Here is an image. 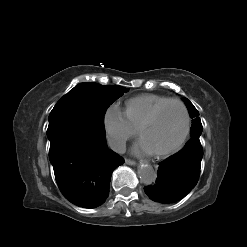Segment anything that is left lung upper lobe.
Returning a JSON list of instances; mask_svg holds the SVG:
<instances>
[{"mask_svg":"<svg viewBox=\"0 0 247 247\" xmlns=\"http://www.w3.org/2000/svg\"><path fill=\"white\" fill-rule=\"evenodd\" d=\"M188 109H189V113L191 118H193L192 120V126L190 129V134L192 138H197L199 139L201 133H202V124H201V120L199 118V112L197 111V109L194 107V105L188 100V99H184Z\"/></svg>","mask_w":247,"mask_h":247,"instance_id":"obj_1","label":"left lung upper lobe"}]
</instances>
